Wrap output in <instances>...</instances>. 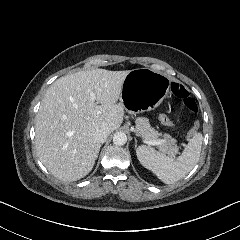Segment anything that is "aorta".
Instances as JSON below:
<instances>
[{"label":"aorta","mask_w":240,"mask_h":240,"mask_svg":"<svg viewBox=\"0 0 240 240\" xmlns=\"http://www.w3.org/2000/svg\"><path fill=\"white\" fill-rule=\"evenodd\" d=\"M127 142V135L124 132H116L113 136V143L121 146Z\"/></svg>","instance_id":"762f6f07"}]
</instances>
